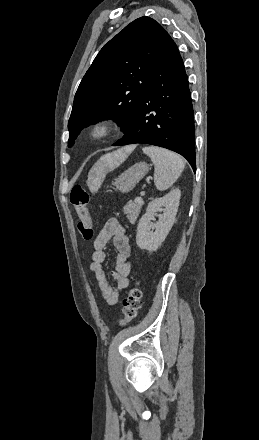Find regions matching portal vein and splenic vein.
<instances>
[{
    "instance_id": "obj_1",
    "label": "portal vein and splenic vein",
    "mask_w": 259,
    "mask_h": 440,
    "mask_svg": "<svg viewBox=\"0 0 259 440\" xmlns=\"http://www.w3.org/2000/svg\"><path fill=\"white\" fill-rule=\"evenodd\" d=\"M144 194H145L144 192H141V193H140V197H137V198L135 199V201L142 202L143 199H142L141 196H143Z\"/></svg>"
}]
</instances>
